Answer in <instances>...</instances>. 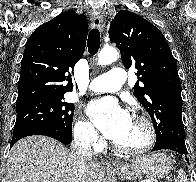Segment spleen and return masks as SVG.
I'll return each mask as SVG.
<instances>
[{"label": "spleen", "mask_w": 196, "mask_h": 182, "mask_svg": "<svg viewBox=\"0 0 196 182\" xmlns=\"http://www.w3.org/2000/svg\"><path fill=\"white\" fill-rule=\"evenodd\" d=\"M175 182H188L186 174L182 169L178 171V176L175 179Z\"/></svg>", "instance_id": "spleen-1"}]
</instances>
